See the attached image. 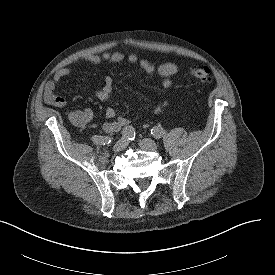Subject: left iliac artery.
I'll list each match as a JSON object with an SVG mask.
<instances>
[{"mask_svg": "<svg viewBox=\"0 0 275 275\" xmlns=\"http://www.w3.org/2000/svg\"><path fill=\"white\" fill-rule=\"evenodd\" d=\"M151 134L154 138L159 139L164 136L165 130L160 126H155L151 129Z\"/></svg>", "mask_w": 275, "mask_h": 275, "instance_id": "obj_1", "label": "left iliac artery"}]
</instances>
